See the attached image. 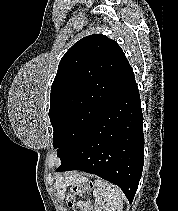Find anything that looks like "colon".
<instances>
[{
	"instance_id": "5ec220e1",
	"label": "colon",
	"mask_w": 178,
	"mask_h": 211,
	"mask_svg": "<svg viewBox=\"0 0 178 211\" xmlns=\"http://www.w3.org/2000/svg\"><path fill=\"white\" fill-rule=\"evenodd\" d=\"M91 183H76L73 184L65 196L66 202L69 206H73L76 202V197L81 193L92 189Z\"/></svg>"
}]
</instances>
